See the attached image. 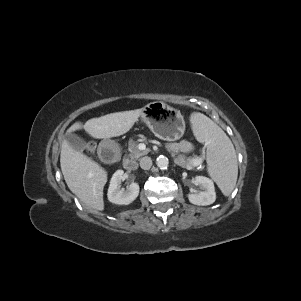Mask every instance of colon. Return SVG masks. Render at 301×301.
Wrapping results in <instances>:
<instances>
[{"label":"colon","instance_id":"obj_1","mask_svg":"<svg viewBox=\"0 0 301 301\" xmlns=\"http://www.w3.org/2000/svg\"><path fill=\"white\" fill-rule=\"evenodd\" d=\"M86 148L89 152H93L94 149H95V145L91 142H88L87 145H86Z\"/></svg>","mask_w":301,"mask_h":301}]
</instances>
